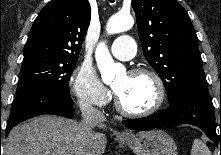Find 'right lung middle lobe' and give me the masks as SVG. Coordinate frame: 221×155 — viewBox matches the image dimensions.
I'll return each mask as SVG.
<instances>
[{
    "instance_id": "right-lung-middle-lobe-1",
    "label": "right lung middle lobe",
    "mask_w": 221,
    "mask_h": 155,
    "mask_svg": "<svg viewBox=\"0 0 221 155\" xmlns=\"http://www.w3.org/2000/svg\"><path fill=\"white\" fill-rule=\"evenodd\" d=\"M77 59H62L48 55L24 57L12 107L27 93L45 89L70 96L68 82Z\"/></svg>"
}]
</instances>
